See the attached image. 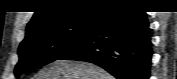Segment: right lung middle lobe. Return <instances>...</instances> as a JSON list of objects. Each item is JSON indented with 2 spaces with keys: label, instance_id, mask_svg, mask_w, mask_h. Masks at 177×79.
I'll return each instance as SVG.
<instances>
[{
  "label": "right lung middle lobe",
  "instance_id": "dd1d6c3e",
  "mask_svg": "<svg viewBox=\"0 0 177 79\" xmlns=\"http://www.w3.org/2000/svg\"><path fill=\"white\" fill-rule=\"evenodd\" d=\"M99 14L48 24L26 33L19 46L15 76L60 59L81 44L93 30Z\"/></svg>",
  "mask_w": 177,
  "mask_h": 79
}]
</instances>
